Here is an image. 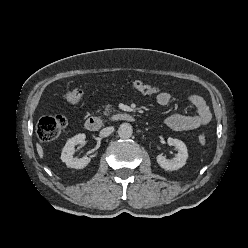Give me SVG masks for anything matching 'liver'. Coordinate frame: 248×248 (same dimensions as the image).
<instances>
[{"label":"liver","instance_id":"liver-1","mask_svg":"<svg viewBox=\"0 0 248 248\" xmlns=\"http://www.w3.org/2000/svg\"><path fill=\"white\" fill-rule=\"evenodd\" d=\"M36 148H37V152H38V155L40 156V158H43L44 152H43L42 146L40 144H37Z\"/></svg>","mask_w":248,"mask_h":248}]
</instances>
